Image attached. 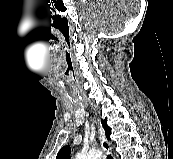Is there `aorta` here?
Segmentation results:
<instances>
[{"mask_svg": "<svg viewBox=\"0 0 173 159\" xmlns=\"http://www.w3.org/2000/svg\"><path fill=\"white\" fill-rule=\"evenodd\" d=\"M102 152L100 150L92 149L89 152H79L76 154L75 159H101Z\"/></svg>", "mask_w": 173, "mask_h": 159, "instance_id": "aorta-1", "label": "aorta"}]
</instances>
